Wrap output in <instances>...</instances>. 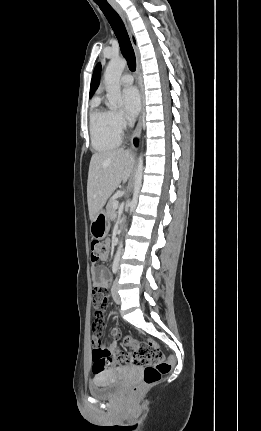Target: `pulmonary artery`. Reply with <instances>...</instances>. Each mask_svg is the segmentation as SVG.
<instances>
[{"mask_svg":"<svg viewBox=\"0 0 261 431\" xmlns=\"http://www.w3.org/2000/svg\"><path fill=\"white\" fill-rule=\"evenodd\" d=\"M120 82L122 85H125V86L131 85L133 83V77L131 74H128V73L123 74L121 76Z\"/></svg>","mask_w":261,"mask_h":431,"instance_id":"1","label":"pulmonary artery"}]
</instances>
